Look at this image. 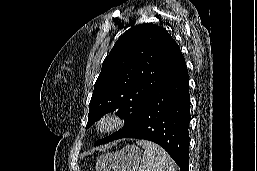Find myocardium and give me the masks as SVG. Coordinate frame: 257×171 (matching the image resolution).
Here are the masks:
<instances>
[{"instance_id":"f54148a6","label":"myocardium","mask_w":257,"mask_h":171,"mask_svg":"<svg viewBox=\"0 0 257 171\" xmlns=\"http://www.w3.org/2000/svg\"><path fill=\"white\" fill-rule=\"evenodd\" d=\"M125 119L118 111H108L102 114L95 123V130L99 134H111L120 129Z\"/></svg>"}]
</instances>
